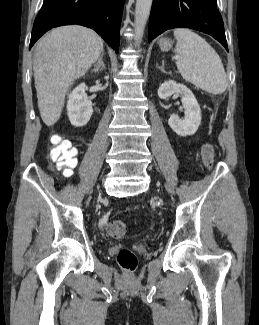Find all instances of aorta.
<instances>
[{
	"mask_svg": "<svg viewBox=\"0 0 259 325\" xmlns=\"http://www.w3.org/2000/svg\"><path fill=\"white\" fill-rule=\"evenodd\" d=\"M152 1L153 0H136L134 28L137 46L141 43L145 25L150 15Z\"/></svg>",
	"mask_w": 259,
	"mask_h": 325,
	"instance_id": "1",
	"label": "aorta"
}]
</instances>
